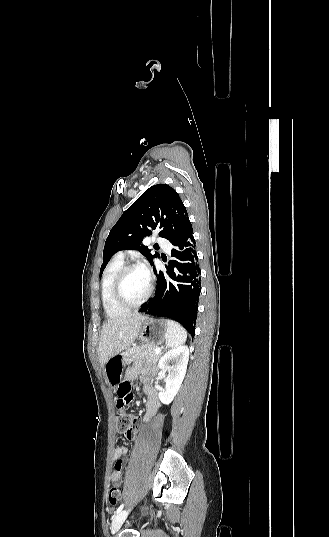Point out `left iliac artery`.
Instances as JSON below:
<instances>
[{
	"instance_id": "obj_1",
	"label": "left iliac artery",
	"mask_w": 329,
	"mask_h": 537,
	"mask_svg": "<svg viewBox=\"0 0 329 537\" xmlns=\"http://www.w3.org/2000/svg\"><path fill=\"white\" fill-rule=\"evenodd\" d=\"M123 507H124V503H122V504L117 508L115 514H118L119 512H121L122 509H123Z\"/></svg>"
}]
</instances>
